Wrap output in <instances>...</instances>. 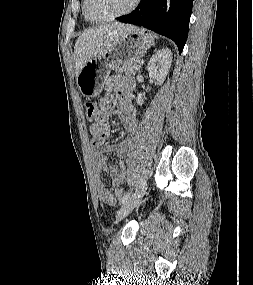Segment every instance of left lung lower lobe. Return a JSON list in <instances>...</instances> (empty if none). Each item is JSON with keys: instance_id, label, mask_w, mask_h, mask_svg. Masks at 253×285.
Returning <instances> with one entry per match:
<instances>
[{"instance_id": "left-lung-lower-lobe-1", "label": "left lung lower lobe", "mask_w": 253, "mask_h": 285, "mask_svg": "<svg viewBox=\"0 0 253 285\" xmlns=\"http://www.w3.org/2000/svg\"><path fill=\"white\" fill-rule=\"evenodd\" d=\"M193 0H145L133 13L118 17L172 39L181 53L189 31Z\"/></svg>"}]
</instances>
